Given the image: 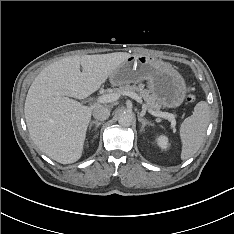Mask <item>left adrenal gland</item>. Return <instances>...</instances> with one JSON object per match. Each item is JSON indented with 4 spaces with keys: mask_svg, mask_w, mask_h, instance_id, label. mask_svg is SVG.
Segmentation results:
<instances>
[{
    "mask_svg": "<svg viewBox=\"0 0 234 234\" xmlns=\"http://www.w3.org/2000/svg\"><path fill=\"white\" fill-rule=\"evenodd\" d=\"M138 121L142 123L141 131L144 130L146 125L153 126V124L151 122H149L148 120H146L142 117H138Z\"/></svg>",
    "mask_w": 234,
    "mask_h": 234,
    "instance_id": "left-adrenal-gland-1",
    "label": "left adrenal gland"
}]
</instances>
